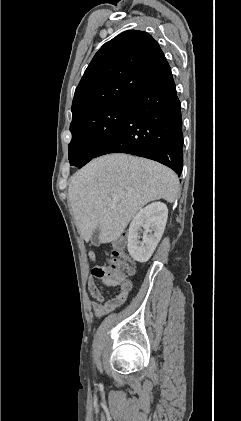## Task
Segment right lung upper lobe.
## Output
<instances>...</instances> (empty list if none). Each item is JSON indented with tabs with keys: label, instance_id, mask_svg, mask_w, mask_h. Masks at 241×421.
<instances>
[{
	"label": "right lung upper lobe",
	"instance_id": "cb5924a9",
	"mask_svg": "<svg viewBox=\"0 0 241 421\" xmlns=\"http://www.w3.org/2000/svg\"><path fill=\"white\" fill-rule=\"evenodd\" d=\"M150 34L128 30L105 43L77 86L72 122L115 102L129 100L167 64Z\"/></svg>",
	"mask_w": 241,
	"mask_h": 421
}]
</instances>
